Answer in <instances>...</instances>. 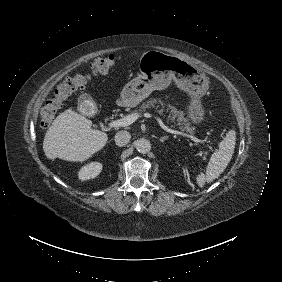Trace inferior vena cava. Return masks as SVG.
Returning a JSON list of instances; mask_svg holds the SVG:
<instances>
[{"label": "inferior vena cava", "mask_w": 282, "mask_h": 282, "mask_svg": "<svg viewBox=\"0 0 282 282\" xmlns=\"http://www.w3.org/2000/svg\"><path fill=\"white\" fill-rule=\"evenodd\" d=\"M130 138L131 136L129 132L122 130L116 133L115 143L117 146L121 147V146L126 145L129 142Z\"/></svg>", "instance_id": "1"}]
</instances>
